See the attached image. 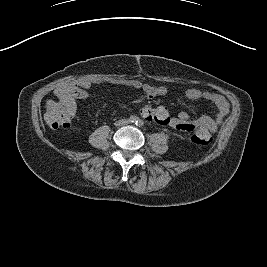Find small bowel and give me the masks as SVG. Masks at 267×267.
I'll return each instance as SVG.
<instances>
[{"mask_svg":"<svg viewBox=\"0 0 267 267\" xmlns=\"http://www.w3.org/2000/svg\"><path fill=\"white\" fill-rule=\"evenodd\" d=\"M147 98H155L163 96L167 93L165 87H154L150 85H140ZM184 97L188 101H197L201 98L209 100L214 107L216 118L213 119L209 116H201L200 118L190 121L187 112L182 111L176 117L169 114V111L164 106L152 107L144 106L140 109V115L149 122H155L161 126H168L177 130L192 132L200 131L208 134L214 133L217 130L218 125L223 121L227 113V104L220 96L202 93L196 89H189L184 93ZM136 102H140V99H136Z\"/></svg>","mask_w":267,"mask_h":267,"instance_id":"small-bowel-1","label":"small bowel"}]
</instances>
